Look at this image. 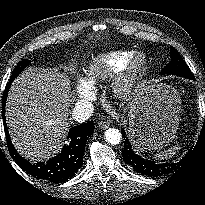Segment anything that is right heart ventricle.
I'll return each mask as SVG.
<instances>
[{"instance_id":"1","label":"right heart ventricle","mask_w":205,"mask_h":205,"mask_svg":"<svg viewBox=\"0 0 205 205\" xmlns=\"http://www.w3.org/2000/svg\"><path fill=\"white\" fill-rule=\"evenodd\" d=\"M135 55L131 50H116L98 54L84 69L81 83L93 87L120 72L125 64Z\"/></svg>"}]
</instances>
